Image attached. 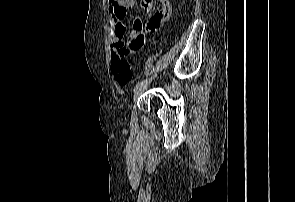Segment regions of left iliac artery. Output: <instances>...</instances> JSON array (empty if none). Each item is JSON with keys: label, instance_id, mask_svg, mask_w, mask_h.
<instances>
[{"label": "left iliac artery", "instance_id": "1", "mask_svg": "<svg viewBox=\"0 0 295 202\" xmlns=\"http://www.w3.org/2000/svg\"><path fill=\"white\" fill-rule=\"evenodd\" d=\"M148 80H150V77H149V78H146V79H144V80L139 81V82L136 84L135 88H137L138 86H140V85L146 83Z\"/></svg>", "mask_w": 295, "mask_h": 202}]
</instances>
